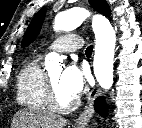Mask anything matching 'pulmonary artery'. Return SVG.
<instances>
[{
    "mask_svg": "<svg viewBox=\"0 0 142 128\" xmlns=\"http://www.w3.org/2000/svg\"><path fill=\"white\" fill-rule=\"evenodd\" d=\"M82 39L77 34H67L52 42L47 51H55V52H74L79 50L82 47Z\"/></svg>",
    "mask_w": 142,
    "mask_h": 128,
    "instance_id": "obj_1",
    "label": "pulmonary artery"
}]
</instances>
